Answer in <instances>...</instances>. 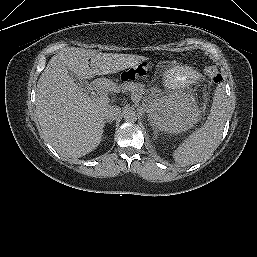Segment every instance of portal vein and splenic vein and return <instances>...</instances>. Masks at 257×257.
I'll return each instance as SVG.
<instances>
[{"label":"portal vein and splenic vein","mask_w":257,"mask_h":257,"mask_svg":"<svg viewBox=\"0 0 257 257\" xmlns=\"http://www.w3.org/2000/svg\"><path fill=\"white\" fill-rule=\"evenodd\" d=\"M107 101V98L105 97V96H100L99 97V102H106ZM133 101L135 102V103H138L137 101H135L134 99H133Z\"/></svg>","instance_id":"obj_1"}]
</instances>
